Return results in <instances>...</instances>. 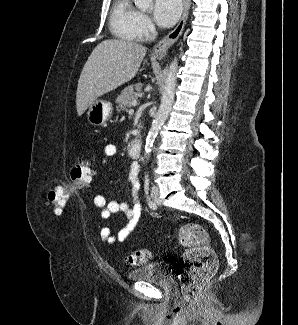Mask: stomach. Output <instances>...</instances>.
Masks as SVG:
<instances>
[{
    "mask_svg": "<svg viewBox=\"0 0 298 325\" xmlns=\"http://www.w3.org/2000/svg\"><path fill=\"white\" fill-rule=\"evenodd\" d=\"M157 60H162V58H157ZM113 110L114 106L110 100H96L94 104H90L87 110V118L91 124L101 126L111 118Z\"/></svg>",
    "mask_w": 298,
    "mask_h": 325,
    "instance_id": "stomach-1",
    "label": "stomach"
}]
</instances>
